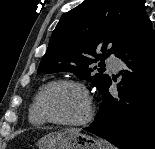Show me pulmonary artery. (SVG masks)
<instances>
[{
    "mask_svg": "<svg viewBox=\"0 0 155 149\" xmlns=\"http://www.w3.org/2000/svg\"><path fill=\"white\" fill-rule=\"evenodd\" d=\"M120 64V61L115 57H111L107 60L108 67L114 71H117L120 68Z\"/></svg>",
    "mask_w": 155,
    "mask_h": 149,
    "instance_id": "1",
    "label": "pulmonary artery"
}]
</instances>
